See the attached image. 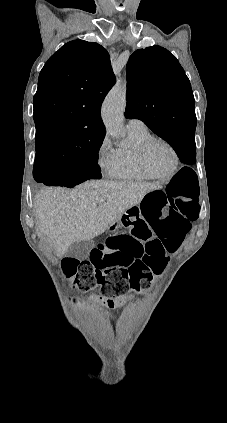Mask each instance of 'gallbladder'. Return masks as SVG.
Returning a JSON list of instances; mask_svg holds the SVG:
<instances>
[{"label": "gallbladder", "mask_w": 227, "mask_h": 423, "mask_svg": "<svg viewBox=\"0 0 227 423\" xmlns=\"http://www.w3.org/2000/svg\"><path fill=\"white\" fill-rule=\"evenodd\" d=\"M93 247H95L93 239H87V241H74V243H71L70 247H68L67 255L83 261V259H87Z\"/></svg>", "instance_id": "1"}]
</instances>
